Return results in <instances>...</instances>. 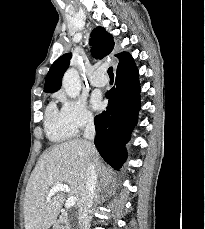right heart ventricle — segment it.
Wrapping results in <instances>:
<instances>
[{
    "label": "right heart ventricle",
    "instance_id": "right-heart-ventricle-1",
    "mask_svg": "<svg viewBox=\"0 0 205 229\" xmlns=\"http://www.w3.org/2000/svg\"><path fill=\"white\" fill-rule=\"evenodd\" d=\"M45 131L48 138L57 143L67 141L76 134L54 102H50L45 111Z\"/></svg>",
    "mask_w": 205,
    "mask_h": 229
}]
</instances>
